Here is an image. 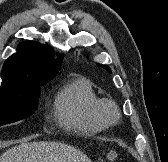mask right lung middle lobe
I'll list each match as a JSON object with an SVG mask.
<instances>
[{
    "label": "right lung middle lobe",
    "mask_w": 168,
    "mask_h": 162,
    "mask_svg": "<svg viewBox=\"0 0 168 162\" xmlns=\"http://www.w3.org/2000/svg\"><path fill=\"white\" fill-rule=\"evenodd\" d=\"M46 82H24L0 91V126L29 117L37 108L40 86Z\"/></svg>",
    "instance_id": "right-lung-middle-lobe-1"
}]
</instances>
